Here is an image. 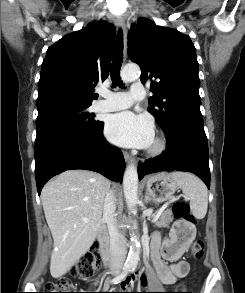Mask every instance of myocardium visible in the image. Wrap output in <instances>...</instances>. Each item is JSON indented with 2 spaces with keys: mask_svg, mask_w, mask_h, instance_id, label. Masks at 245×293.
Instances as JSON below:
<instances>
[{
  "mask_svg": "<svg viewBox=\"0 0 245 293\" xmlns=\"http://www.w3.org/2000/svg\"><path fill=\"white\" fill-rule=\"evenodd\" d=\"M167 147V141L163 137H156L151 146L148 149V153L151 155L161 154Z\"/></svg>",
  "mask_w": 245,
  "mask_h": 293,
  "instance_id": "myocardium-1",
  "label": "myocardium"
}]
</instances>
